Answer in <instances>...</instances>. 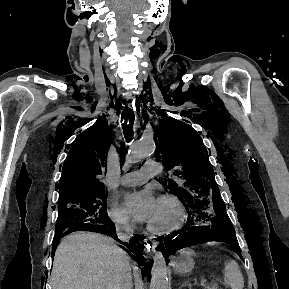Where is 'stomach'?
<instances>
[{"label": "stomach", "instance_id": "1", "mask_svg": "<svg viewBox=\"0 0 289 289\" xmlns=\"http://www.w3.org/2000/svg\"><path fill=\"white\" fill-rule=\"evenodd\" d=\"M193 251L185 249L175 261V270L181 274L191 272L194 268Z\"/></svg>", "mask_w": 289, "mask_h": 289}]
</instances>
